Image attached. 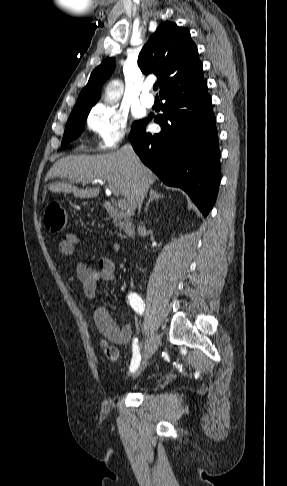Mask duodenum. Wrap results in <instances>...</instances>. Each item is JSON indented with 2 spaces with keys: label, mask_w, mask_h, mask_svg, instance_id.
I'll use <instances>...</instances> for the list:
<instances>
[{
  "label": "duodenum",
  "mask_w": 287,
  "mask_h": 486,
  "mask_svg": "<svg viewBox=\"0 0 287 486\" xmlns=\"http://www.w3.org/2000/svg\"><path fill=\"white\" fill-rule=\"evenodd\" d=\"M104 207L106 209L107 214L111 218L117 221L123 234L129 238L133 237L135 234V229L130 218L108 202L104 203Z\"/></svg>",
  "instance_id": "410a0bca"
}]
</instances>
